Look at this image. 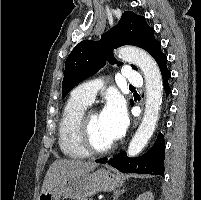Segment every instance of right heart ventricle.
Returning a JSON list of instances; mask_svg holds the SVG:
<instances>
[{
  "instance_id": "right-heart-ventricle-1",
  "label": "right heart ventricle",
  "mask_w": 201,
  "mask_h": 200,
  "mask_svg": "<svg viewBox=\"0 0 201 200\" xmlns=\"http://www.w3.org/2000/svg\"><path fill=\"white\" fill-rule=\"evenodd\" d=\"M89 103L72 95L66 102L58 127V143L62 153L70 158H83L88 154L77 141V125Z\"/></svg>"
}]
</instances>
